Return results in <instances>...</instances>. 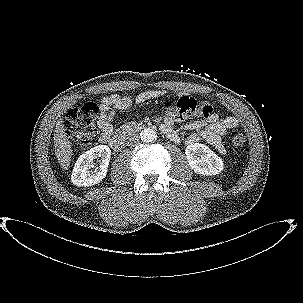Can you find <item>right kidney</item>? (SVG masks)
Wrapping results in <instances>:
<instances>
[{"instance_id":"right-kidney-1","label":"right kidney","mask_w":303,"mask_h":303,"mask_svg":"<svg viewBox=\"0 0 303 303\" xmlns=\"http://www.w3.org/2000/svg\"><path fill=\"white\" fill-rule=\"evenodd\" d=\"M111 150L106 145H98L83 153L76 161L71 181L76 186H92L100 183L107 174ZM100 158L99 167L93 168V160Z\"/></svg>"}]
</instances>
